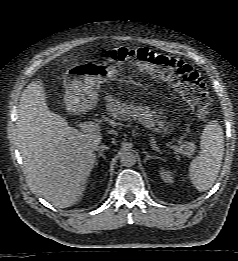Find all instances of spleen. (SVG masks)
I'll return each instance as SVG.
<instances>
[{
    "mask_svg": "<svg viewBox=\"0 0 238 261\" xmlns=\"http://www.w3.org/2000/svg\"><path fill=\"white\" fill-rule=\"evenodd\" d=\"M223 134L221 125L213 120L201 135V152L189 167V178L199 192L209 190L218 176L224 154Z\"/></svg>",
    "mask_w": 238,
    "mask_h": 261,
    "instance_id": "spleen-1",
    "label": "spleen"
}]
</instances>
